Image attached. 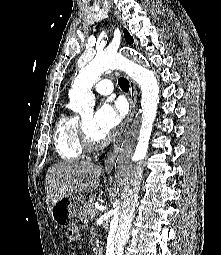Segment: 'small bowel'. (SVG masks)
Returning a JSON list of instances; mask_svg holds the SVG:
<instances>
[{"label": "small bowel", "instance_id": "c3829d8e", "mask_svg": "<svg viewBox=\"0 0 221 255\" xmlns=\"http://www.w3.org/2000/svg\"><path fill=\"white\" fill-rule=\"evenodd\" d=\"M67 237L69 240L71 241H75L78 239L79 237V231L77 229V227H70L68 230H67ZM74 255V254H73Z\"/></svg>", "mask_w": 221, "mask_h": 255}]
</instances>
